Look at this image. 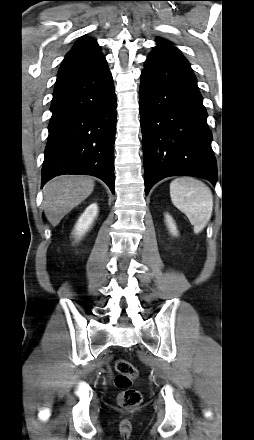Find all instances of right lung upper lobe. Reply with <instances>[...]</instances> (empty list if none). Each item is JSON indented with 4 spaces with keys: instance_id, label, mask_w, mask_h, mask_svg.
<instances>
[{
    "instance_id": "cb5924a9",
    "label": "right lung upper lobe",
    "mask_w": 254,
    "mask_h": 440,
    "mask_svg": "<svg viewBox=\"0 0 254 440\" xmlns=\"http://www.w3.org/2000/svg\"><path fill=\"white\" fill-rule=\"evenodd\" d=\"M105 61L97 41L92 38H83L66 54L57 79L90 69Z\"/></svg>"
}]
</instances>
